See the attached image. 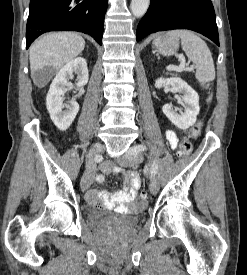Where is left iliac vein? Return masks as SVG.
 Instances as JSON below:
<instances>
[{"label":"left iliac vein","mask_w":247,"mask_h":275,"mask_svg":"<svg viewBox=\"0 0 247 275\" xmlns=\"http://www.w3.org/2000/svg\"><path fill=\"white\" fill-rule=\"evenodd\" d=\"M136 148H137V145L131 147L128 150L127 155L120 158L118 160V163L124 167H131L140 163L142 160V156L140 152H137ZM149 189L152 194H155L158 191V181L156 178L154 177L151 178L149 183Z\"/></svg>","instance_id":"1"}]
</instances>
